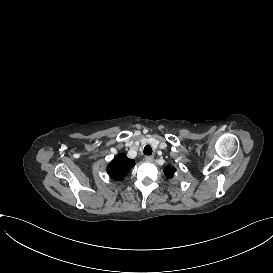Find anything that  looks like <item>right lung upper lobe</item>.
<instances>
[{
  "label": "right lung upper lobe",
  "instance_id": "right-lung-upper-lobe-1",
  "mask_svg": "<svg viewBox=\"0 0 273 273\" xmlns=\"http://www.w3.org/2000/svg\"><path fill=\"white\" fill-rule=\"evenodd\" d=\"M134 166V160L120 154L115 157L107 167V172L114 180L123 179Z\"/></svg>",
  "mask_w": 273,
  "mask_h": 273
}]
</instances>
